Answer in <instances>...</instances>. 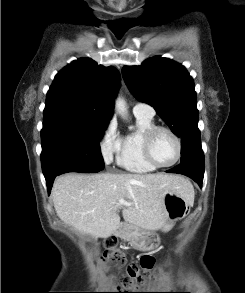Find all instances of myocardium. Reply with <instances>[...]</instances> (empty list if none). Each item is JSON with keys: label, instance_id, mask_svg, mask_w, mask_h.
Wrapping results in <instances>:
<instances>
[{"label": "myocardium", "instance_id": "obj_1", "mask_svg": "<svg viewBox=\"0 0 245 293\" xmlns=\"http://www.w3.org/2000/svg\"><path fill=\"white\" fill-rule=\"evenodd\" d=\"M160 131H165V132L169 133L172 136V138L174 139L176 146H177L176 157L174 158V160L172 162L167 163V164L158 163L154 159L153 154H152L153 139H154L155 135ZM142 150H143V154H144L145 159L151 165H153L156 168H168V167L175 165L179 161V159L181 157V153H182V142H181V139L178 136V134L174 130H172L171 128H169L167 126L156 125L144 133L143 140H142Z\"/></svg>", "mask_w": 245, "mask_h": 293}]
</instances>
